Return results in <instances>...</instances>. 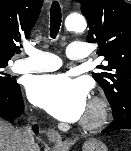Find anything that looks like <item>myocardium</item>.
<instances>
[{
    "label": "myocardium",
    "instance_id": "1",
    "mask_svg": "<svg viewBox=\"0 0 131 151\" xmlns=\"http://www.w3.org/2000/svg\"><path fill=\"white\" fill-rule=\"evenodd\" d=\"M88 113L80 121L82 128L95 130L104 126L109 118V105L99 96H94L88 104Z\"/></svg>",
    "mask_w": 131,
    "mask_h": 151
}]
</instances>
